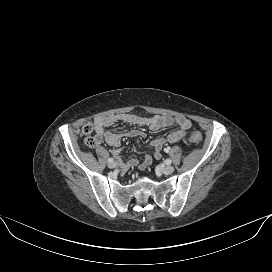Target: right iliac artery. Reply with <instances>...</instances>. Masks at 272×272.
Here are the masks:
<instances>
[{
    "instance_id": "right-iliac-artery-1",
    "label": "right iliac artery",
    "mask_w": 272,
    "mask_h": 272,
    "mask_svg": "<svg viewBox=\"0 0 272 272\" xmlns=\"http://www.w3.org/2000/svg\"><path fill=\"white\" fill-rule=\"evenodd\" d=\"M107 161H108L109 163H112V162L114 161V159H113V158H109Z\"/></svg>"
}]
</instances>
